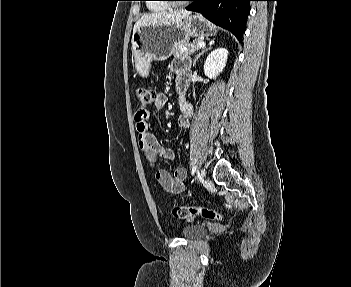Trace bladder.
<instances>
[{"label":"bladder","instance_id":"31cf9c89","mask_svg":"<svg viewBox=\"0 0 351 287\" xmlns=\"http://www.w3.org/2000/svg\"><path fill=\"white\" fill-rule=\"evenodd\" d=\"M205 232L206 228L203 225H187L181 230L182 236L190 239L200 237Z\"/></svg>","mask_w":351,"mask_h":287}]
</instances>
